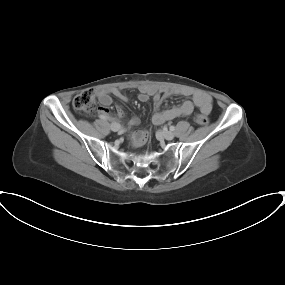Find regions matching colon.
Here are the masks:
<instances>
[{"label": "colon", "instance_id": "1", "mask_svg": "<svg viewBox=\"0 0 285 285\" xmlns=\"http://www.w3.org/2000/svg\"><path fill=\"white\" fill-rule=\"evenodd\" d=\"M73 106L76 110L84 113L94 112L97 107V92L92 89L81 92L74 98ZM195 121L200 125H207L209 119L204 114H197Z\"/></svg>", "mask_w": 285, "mask_h": 285}]
</instances>
